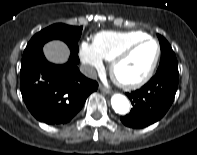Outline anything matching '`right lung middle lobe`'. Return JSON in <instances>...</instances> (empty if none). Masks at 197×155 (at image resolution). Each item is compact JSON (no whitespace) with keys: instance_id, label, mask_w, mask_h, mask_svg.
Segmentation results:
<instances>
[{"instance_id":"1","label":"right lung middle lobe","mask_w":197,"mask_h":155,"mask_svg":"<svg viewBox=\"0 0 197 155\" xmlns=\"http://www.w3.org/2000/svg\"><path fill=\"white\" fill-rule=\"evenodd\" d=\"M82 27L68 26L62 23L51 25L40 32L36 33L27 44L22 63L42 51L43 45L53 39L64 41L70 48L72 53H78L77 42L81 36Z\"/></svg>"}]
</instances>
